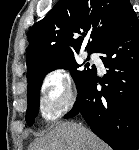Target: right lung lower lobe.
Wrapping results in <instances>:
<instances>
[{"label": "right lung lower lobe", "mask_w": 139, "mask_h": 150, "mask_svg": "<svg viewBox=\"0 0 139 150\" xmlns=\"http://www.w3.org/2000/svg\"><path fill=\"white\" fill-rule=\"evenodd\" d=\"M108 68L102 83L95 68L77 87L73 109L64 118L82 114L91 130L114 150L139 147V20L132 9L96 51Z\"/></svg>", "instance_id": "98d812e1"}]
</instances>
